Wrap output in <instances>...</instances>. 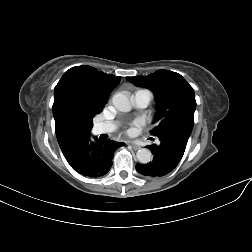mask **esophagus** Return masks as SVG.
I'll list each match as a JSON object with an SVG mask.
<instances>
[{"mask_svg":"<svg viewBox=\"0 0 252 252\" xmlns=\"http://www.w3.org/2000/svg\"><path fill=\"white\" fill-rule=\"evenodd\" d=\"M128 144L131 145V147H132L134 150H138V149H139V147H138L135 143H133V142H129Z\"/></svg>","mask_w":252,"mask_h":252,"instance_id":"esophagus-1","label":"esophagus"}]
</instances>
